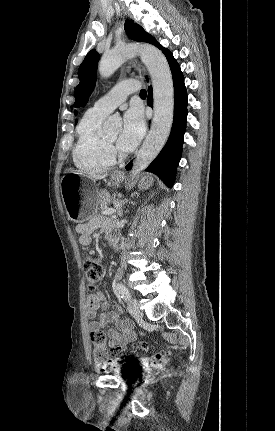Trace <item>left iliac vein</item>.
I'll list each match as a JSON object with an SVG mask.
<instances>
[{
    "mask_svg": "<svg viewBox=\"0 0 275 431\" xmlns=\"http://www.w3.org/2000/svg\"><path fill=\"white\" fill-rule=\"evenodd\" d=\"M128 310L130 312V314L135 318V319H142L143 317V312L141 311L140 307H139V302L137 299H130L128 302Z\"/></svg>",
    "mask_w": 275,
    "mask_h": 431,
    "instance_id": "obj_1",
    "label": "left iliac vein"
}]
</instances>
